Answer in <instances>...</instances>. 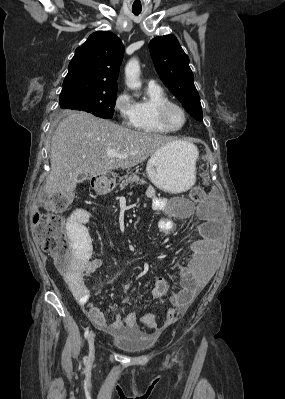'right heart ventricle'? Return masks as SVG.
Wrapping results in <instances>:
<instances>
[{
  "label": "right heart ventricle",
  "mask_w": 285,
  "mask_h": 399,
  "mask_svg": "<svg viewBox=\"0 0 285 399\" xmlns=\"http://www.w3.org/2000/svg\"><path fill=\"white\" fill-rule=\"evenodd\" d=\"M148 99L135 103L134 128L141 132L152 134H169L173 131L162 127L157 119V108L170 101L167 93L160 86L147 88Z\"/></svg>",
  "instance_id": "1"
}]
</instances>
